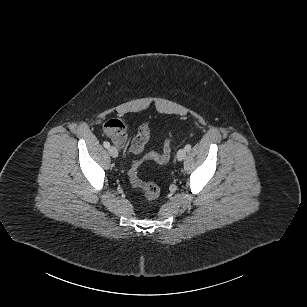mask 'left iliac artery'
<instances>
[{
  "mask_svg": "<svg viewBox=\"0 0 307 307\" xmlns=\"http://www.w3.org/2000/svg\"><path fill=\"white\" fill-rule=\"evenodd\" d=\"M185 150H186V151H190V150H191V145H190V144H187V145L185 146Z\"/></svg>",
  "mask_w": 307,
  "mask_h": 307,
  "instance_id": "1",
  "label": "left iliac artery"
}]
</instances>
